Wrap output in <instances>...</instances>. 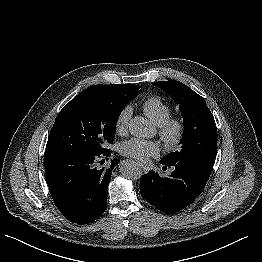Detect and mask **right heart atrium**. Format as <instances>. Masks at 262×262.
<instances>
[{
  "label": "right heart atrium",
  "mask_w": 262,
  "mask_h": 262,
  "mask_svg": "<svg viewBox=\"0 0 262 262\" xmlns=\"http://www.w3.org/2000/svg\"><path fill=\"white\" fill-rule=\"evenodd\" d=\"M132 116L131 106H125L118 114L115 121V130L118 134H125L128 130L130 119Z\"/></svg>",
  "instance_id": "d8ad5b80"
}]
</instances>
